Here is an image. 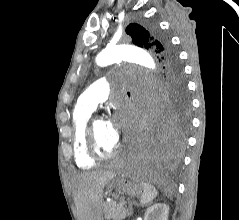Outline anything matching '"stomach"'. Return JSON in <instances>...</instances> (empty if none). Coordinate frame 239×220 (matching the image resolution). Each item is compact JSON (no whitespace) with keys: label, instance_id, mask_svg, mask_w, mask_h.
<instances>
[{"label":"stomach","instance_id":"obj_1","mask_svg":"<svg viewBox=\"0 0 239 220\" xmlns=\"http://www.w3.org/2000/svg\"><path fill=\"white\" fill-rule=\"evenodd\" d=\"M110 186L115 192H126L131 196H139L142 193L140 184L132 183V178H124V183H111Z\"/></svg>","mask_w":239,"mask_h":220}]
</instances>
